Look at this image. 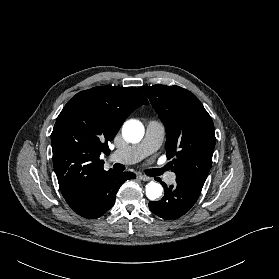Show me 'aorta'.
Wrapping results in <instances>:
<instances>
[{"instance_id": "762f6f07", "label": "aorta", "mask_w": 279, "mask_h": 279, "mask_svg": "<svg viewBox=\"0 0 279 279\" xmlns=\"http://www.w3.org/2000/svg\"><path fill=\"white\" fill-rule=\"evenodd\" d=\"M124 138L131 143H138L144 136V126L140 121L129 120L122 127ZM146 196L150 200H155L162 195L163 187L161 184L151 181L146 185Z\"/></svg>"}]
</instances>
